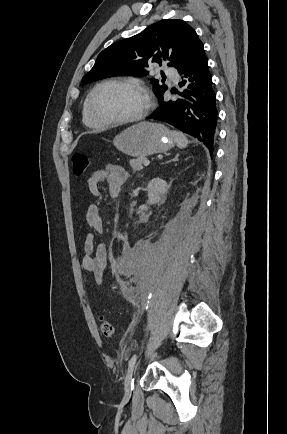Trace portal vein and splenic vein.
<instances>
[{"instance_id": "obj_1", "label": "portal vein and splenic vein", "mask_w": 287, "mask_h": 434, "mask_svg": "<svg viewBox=\"0 0 287 434\" xmlns=\"http://www.w3.org/2000/svg\"><path fill=\"white\" fill-rule=\"evenodd\" d=\"M150 164V161L148 159L144 160V166H148Z\"/></svg>"}]
</instances>
